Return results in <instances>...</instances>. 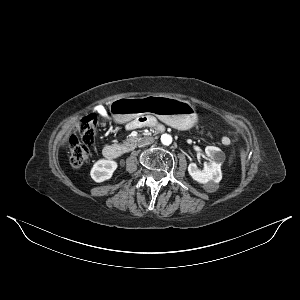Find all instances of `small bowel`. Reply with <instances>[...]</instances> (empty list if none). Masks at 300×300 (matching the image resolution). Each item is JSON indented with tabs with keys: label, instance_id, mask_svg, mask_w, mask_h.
Here are the masks:
<instances>
[{
	"label": "small bowel",
	"instance_id": "1",
	"mask_svg": "<svg viewBox=\"0 0 300 300\" xmlns=\"http://www.w3.org/2000/svg\"><path fill=\"white\" fill-rule=\"evenodd\" d=\"M100 112L102 113V111H100ZM141 124H142L141 120H135L131 123V125L134 126V127H137ZM222 142H223V144H229L230 143L229 138H227V137L223 138Z\"/></svg>",
	"mask_w": 300,
	"mask_h": 300
}]
</instances>
